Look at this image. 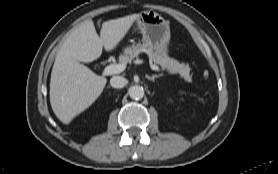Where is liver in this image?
Masks as SVG:
<instances>
[{
  "instance_id": "liver-1",
  "label": "liver",
  "mask_w": 278,
  "mask_h": 174,
  "mask_svg": "<svg viewBox=\"0 0 278 174\" xmlns=\"http://www.w3.org/2000/svg\"><path fill=\"white\" fill-rule=\"evenodd\" d=\"M139 14L102 23L98 36L91 19L77 26L58 52L50 79V103L54 114L64 124L87 109L102 93L106 78L98 76L80 62L98 59L103 47L113 50L125 37Z\"/></svg>"
}]
</instances>
